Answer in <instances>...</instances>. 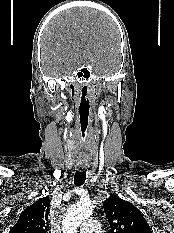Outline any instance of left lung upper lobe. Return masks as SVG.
<instances>
[{
    "mask_svg": "<svg viewBox=\"0 0 174 233\" xmlns=\"http://www.w3.org/2000/svg\"><path fill=\"white\" fill-rule=\"evenodd\" d=\"M110 233H152L147 221L132 203L111 194L103 203Z\"/></svg>",
    "mask_w": 174,
    "mask_h": 233,
    "instance_id": "1",
    "label": "left lung upper lobe"
}]
</instances>
